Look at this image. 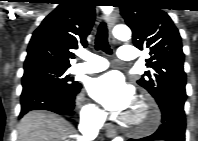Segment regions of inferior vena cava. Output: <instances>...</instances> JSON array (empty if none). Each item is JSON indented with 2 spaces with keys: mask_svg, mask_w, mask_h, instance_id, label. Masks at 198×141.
<instances>
[{
  "mask_svg": "<svg viewBox=\"0 0 198 141\" xmlns=\"http://www.w3.org/2000/svg\"><path fill=\"white\" fill-rule=\"evenodd\" d=\"M104 119V114L97 110H93L88 113L87 116L83 117L81 122L87 125H80L79 127L81 133L83 134L82 139H84V141L94 139L97 136L99 129L103 125Z\"/></svg>",
  "mask_w": 198,
  "mask_h": 141,
  "instance_id": "inferior-vena-cava-1",
  "label": "inferior vena cava"
}]
</instances>
